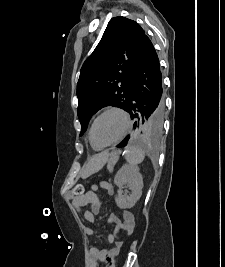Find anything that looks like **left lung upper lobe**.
Returning <instances> with one entry per match:
<instances>
[{"mask_svg": "<svg viewBox=\"0 0 225 267\" xmlns=\"http://www.w3.org/2000/svg\"><path fill=\"white\" fill-rule=\"evenodd\" d=\"M146 38L145 31L133 20L115 17L109 21L80 71L77 84L80 135L99 109L111 105L128 111L134 73ZM162 125L147 117L139 120L136 128L143 135L156 136Z\"/></svg>", "mask_w": 225, "mask_h": 267, "instance_id": "left-lung-upper-lobe-1", "label": "left lung upper lobe"}]
</instances>
